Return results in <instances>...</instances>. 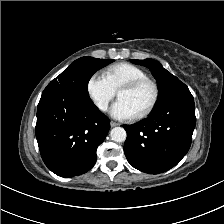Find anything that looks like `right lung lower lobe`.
I'll use <instances>...</instances> for the list:
<instances>
[{
  "label": "right lung lower lobe",
  "mask_w": 224,
  "mask_h": 224,
  "mask_svg": "<svg viewBox=\"0 0 224 224\" xmlns=\"http://www.w3.org/2000/svg\"><path fill=\"white\" fill-rule=\"evenodd\" d=\"M110 120L90 98L45 88L37 108L36 138L45 165L56 175L73 177L90 170Z\"/></svg>",
  "instance_id": "98d812e1"
}]
</instances>
